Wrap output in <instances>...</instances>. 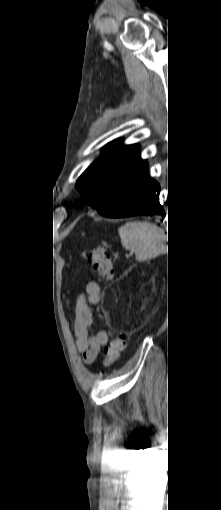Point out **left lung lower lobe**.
Wrapping results in <instances>:
<instances>
[{"instance_id": "0a47b994", "label": "left lung lower lobe", "mask_w": 221, "mask_h": 510, "mask_svg": "<svg viewBox=\"0 0 221 510\" xmlns=\"http://www.w3.org/2000/svg\"><path fill=\"white\" fill-rule=\"evenodd\" d=\"M159 184L148 174V166L134 178L106 207L97 212L108 218L136 215H161L165 212L158 201Z\"/></svg>"}]
</instances>
